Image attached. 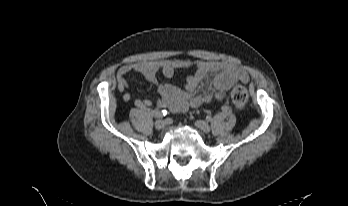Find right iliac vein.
Listing matches in <instances>:
<instances>
[{
    "instance_id": "1",
    "label": "right iliac vein",
    "mask_w": 348,
    "mask_h": 206,
    "mask_svg": "<svg viewBox=\"0 0 348 206\" xmlns=\"http://www.w3.org/2000/svg\"><path fill=\"white\" fill-rule=\"evenodd\" d=\"M165 127V122L163 120H157L155 122V128L157 130H162Z\"/></svg>"
}]
</instances>
